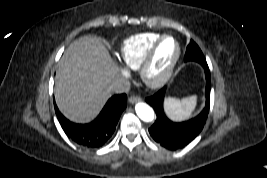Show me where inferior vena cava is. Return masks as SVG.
I'll list each match as a JSON object with an SVG mask.
<instances>
[{
	"label": "inferior vena cava",
	"mask_w": 267,
	"mask_h": 178,
	"mask_svg": "<svg viewBox=\"0 0 267 178\" xmlns=\"http://www.w3.org/2000/svg\"><path fill=\"white\" fill-rule=\"evenodd\" d=\"M130 90V83L124 78H116L108 87L111 93H127Z\"/></svg>",
	"instance_id": "1"
}]
</instances>
